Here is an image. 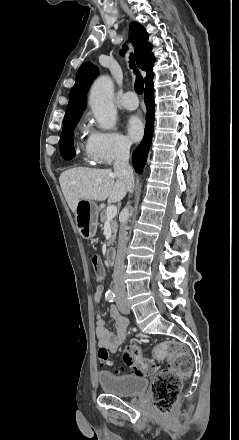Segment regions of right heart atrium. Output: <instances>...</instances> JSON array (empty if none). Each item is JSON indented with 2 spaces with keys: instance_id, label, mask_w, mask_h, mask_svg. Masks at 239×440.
Listing matches in <instances>:
<instances>
[{
  "instance_id": "obj_1",
  "label": "right heart atrium",
  "mask_w": 239,
  "mask_h": 440,
  "mask_svg": "<svg viewBox=\"0 0 239 440\" xmlns=\"http://www.w3.org/2000/svg\"><path fill=\"white\" fill-rule=\"evenodd\" d=\"M127 150L125 140L111 132L99 130L90 126L84 144L87 158L101 165H111Z\"/></svg>"
}]
</instances>
